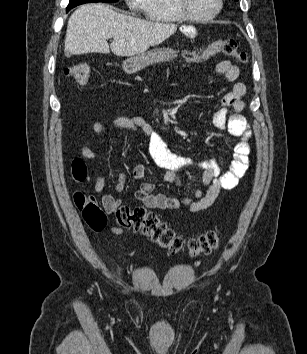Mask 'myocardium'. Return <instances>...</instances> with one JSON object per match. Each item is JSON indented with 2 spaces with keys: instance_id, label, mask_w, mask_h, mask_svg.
Masks as SVG:
<instances>
[{
  "instance_id": "1",
  "label": "myocardium",
  "mask_w": 307,
  "mask_h": 354,
  "mask_svg": "<svg viewBox=\"0 0 307 354\" xmlns=\"http://www.w3.org/2000/svg\"><path fill=\"white\" fill-rule=\"evenodd\" d=\"M176 8L179 13L187 20L194 22H208L213 20L221 11L223 7V0H217L216 9L207 16H196L193 15L187 6V0H175Z\"/></svg>"
}]
</instances>
